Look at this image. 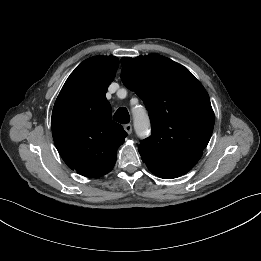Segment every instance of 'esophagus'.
<instances>
[{"mask_svg": "<svg viewBox=\"0 0 261 261\" xmlns=\"http://www.w3.org/2000/svg\"><path fill=\"white\" fill-rule=\"evenodd\" d=\"M124 130H125L128 134H131V133H132V125H131V124H126V125H124Z\"/></svg>", "mask_w": 261, "mask_h": 261, "instance_id": "1", "label": "esophagus"}]
</instances>
